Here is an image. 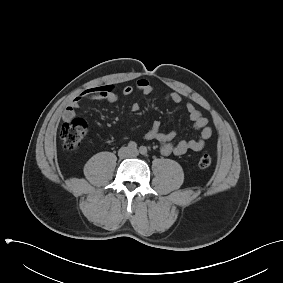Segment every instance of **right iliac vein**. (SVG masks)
<instances>
[{
  "mask_svg": "<svg viewBox=\"0 0 283 283\" xmlns=\"http://www.w3.org/2000/svg\"><path fill=\"white\" fill-rule=\"evenodd\" d=\"M119 153H120L121 156H127V155H129L130 150L127 147H123V148L120 149Z\"/></svg>",
  "mask_w": 283,
  "mask_h": 283,
  "instance_id": "63e3f726",
  "label": "right iliac vein"
}]
</instances>
